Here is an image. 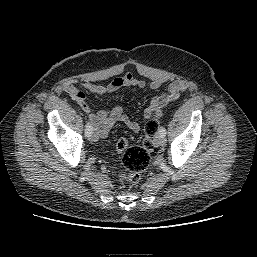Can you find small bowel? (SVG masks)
Listing matches in <instances>:
<instances>
[{
	"label": "small bowel",
	"instance_id": "1",
	"mask_svg": "<svg viewBox=\"0 0 257 257\" xmlns=\"http://www.w3.org/2000/svg\"><path fill=\"white\" fill-rule=\"evenodd\" d=\"M164 83L165 79L156 78L151 81L150 87L152 89H158ZM145 85L146 83L144 80L136 78L130 73H125L113 79L107 85L97 84L87 80L69 81L65 83L64 90L75 102H77L84 113L88 116L97 137L103 138L110 132L116 123H123L133 132H138L140 130V125L137 121L131 119L119 105H116L111 109L100 110L97 113H93L86 103L84 92H82L78 87L80 86L92 94L104 95L129 87L142 89ZM186 89L187 83L185 81H173L165 92L152 98L151 102L144 110V118L149 119L151 117H157L165 106L177 100L181 94L186 91Z\"/></svg>",
	"mask_w": 257,
	"mask_h": 257
}]
</instances>
